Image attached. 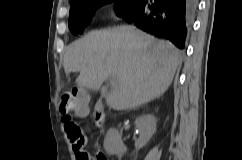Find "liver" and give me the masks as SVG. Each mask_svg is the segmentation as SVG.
<instances>
[{
  "label": "liver",
  "instance_id": "obj_1",
  "mask_svg": "<svg viewBox=\"0 0 242 160\" xmlns=\"http://www.w3.org/2000/svg\"><path fill=\"white\" fill-rule=\"evenodd\" d=\"M181 52L133 26L92 31L72 43L64 55V70L80 72L76 83L99 90L106 79L115 84L106 94L107 105L126 110L163 95L172 83Z\"/></svg>",
  "mask_w": 242,
  "mask_h": 160
}]
</instances>
